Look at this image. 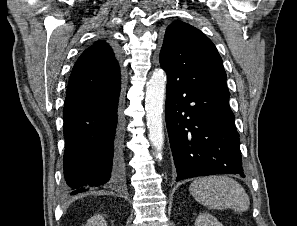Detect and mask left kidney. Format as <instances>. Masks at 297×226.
<instances>
[{
	"mask_svg": "<svg viewBox=\"0 0 297 226\" xmlns=\"http://www.w3.org/2000/svg\"><path fill=\"white\" fill-rule=\"evenodd\" d=\"M195 226H223V224L209 213H200L195 220Z\"/></svg>",
	"mask_w": 297,
	"mask_h": 226,
	"instance_id": "1",
	"label": "left kidney"
}]
</instances>
